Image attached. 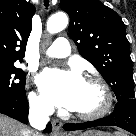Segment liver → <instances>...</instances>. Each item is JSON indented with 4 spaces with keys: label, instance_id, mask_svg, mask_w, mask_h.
<instances>
[{
    "label": "liver",
    "instance_id": "1",
    "mask_svg": "<svg viewBox=\"0 0 136 136\" xmlns=\"http://www.w3.org/2000/svg\"><path fill=\"white\" fill-rule=\"evenodd\" d=\"M0 136H31V131L18 121L0 114Z\"/></svg>",
    "mask_w": 136,
    "mask_h": 136
}]
</instances>
